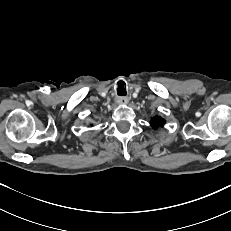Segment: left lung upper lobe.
I'll list each match as a JSON object with an SVG mask.
<instances>
[{
	"mask_svg": "<svg viewBox=\"0 0 231 231\" xmlns=\"http://www.w3.org/2000/svg\"><path fill=\"white\" fill-rule=\"evenodd\" d=\"M165 123V120L161 117L155 116L151 119V126L154 129H157L158 127H160L161 125H163Z\"/></svg>",
	"mask_w": 231,
	"mask_h": 231,
	"instance_id": "obj_1",
	"label": "left lung upper lobe"
}]
</instances>
